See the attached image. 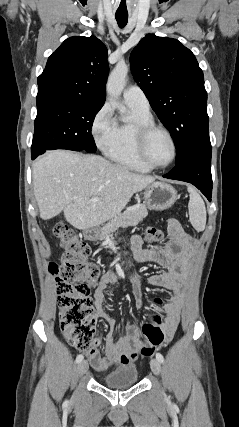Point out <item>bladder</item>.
<instances>
[{"mask_svg": "<svg viewBox=\"0 0 239 427\" xmlns=\"http://www.w3.org/2000/svg\"><path fill=\"white\" fill-rule=\"evenodd\" d=\"M138 380V371L134 367L119 369L103 377L105 386L112 389H124L133 386Z\"/></svg>", "mask_w": 239, "mask_h": 427, "instance_id": "31cf9c89", "label": "bladder"}]
</instances>
